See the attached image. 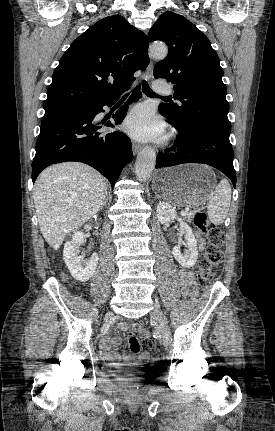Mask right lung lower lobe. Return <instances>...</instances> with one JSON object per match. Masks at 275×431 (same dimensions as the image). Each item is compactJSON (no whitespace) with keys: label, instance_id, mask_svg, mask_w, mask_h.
<instances>
[{"label":"right lung lower lobe","instance_id":"98d812e1","mask_svg":"<svg viewBox=\"0 0 275 431\" xmlns=\"http://www.w3.org/2000/svg\"><path fill=\"white\" fill-rule=\"evenodd\" d=\"M138 86L128 102L137 101L142 93ZM117 96L105 101L75 107L46 110L32 162V181L47 166L65 161L86 163L104 175L113 187L122 168L132 158L130 139L121 132L106 133L103 127H114L107 121H96L103 106H111ZM127 105L114 115L120 124L127 114Z\"/></svg>","mask_w":275,"mask_h":431}]
</instances>
